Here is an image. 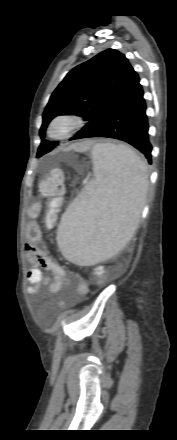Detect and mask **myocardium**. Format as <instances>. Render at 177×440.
I'll list each match as a JSON object with an SVG mask.
<instances>
[{"instance_id":"myocardium-1","label":"myocardium","mask_w":177,"mask_h":440,"mask_svg":"<svg viewBox=\"0 0 177 440\" xmlns=\"http://www.w3.org/2000/svg\"><path fill=\"white\" fill-rule=\"evenodd\" d=\"M83 126L84 121L79 116L75 114L61 113L50 120L46 134L53 140L68 139L81 131Z\"/></svg>"}]
</instances>
